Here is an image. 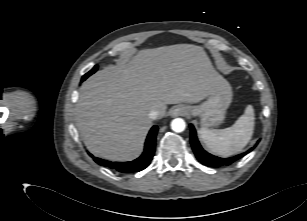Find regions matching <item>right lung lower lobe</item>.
Wrapping results in <instances>:
<instances>
[{
  "label": "right lung lower lobe",
  "instance_id": "98d812e1",
  "mask_svg": "<svg viewBox=\"0 0 307 221\" xmlns=\"http://www.w3.org/2000/svg\"><path fill=\"white\" fill-rule=\"evenodd\" d=\"M84 80L85 77L83 76L82 81ZM157 131L158 127L153 126L146 139L145 149L143 154L139 158L131 162H110L97 157H93L90 153L89 155L93 157L94 161L99 165L109 167L114 171L122 173H132V172L141 171L151 163V160L154 156Z\"/></svg>",
  "mask_w": 307,
  "mask_h": 221
}]
</instances>
